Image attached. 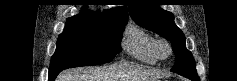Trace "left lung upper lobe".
Returning a JSON list of instances; mask_svg holds the SVG:
<instances>
[{"mask_svg":"<svg viewBox=\"0 0 237 81\" xmlns=\"http://www.w3.org/2000/svg\"><path fill=\"white\" fill-rule=\"evenodd\" d=\"M132 2L134 4H131L133 7H130L129 13L133 20L172 43L176 62L171 71L199 80L195 60L191 52L186 49L185 36L175 25L173 14L159 8L154 0H133Z\"/></svg>","mask_w":237,"mask_h":81,"instance_id":"1","label":"left lung upper lobe"}]
</instances>
